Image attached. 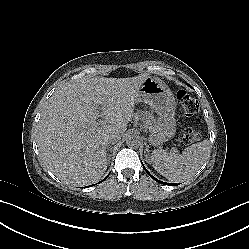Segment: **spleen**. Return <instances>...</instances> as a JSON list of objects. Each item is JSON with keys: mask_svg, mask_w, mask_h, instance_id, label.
<instances>
[{"mask_svg": "<svg viewBox=\"0 0 249 249\" xmlns=\"http://www.w3.org/2000/svg\"><path fill=\"white\" fill-rule=\"evenodd\" d=\"M210 155V143L203 140L188 146L182 153L154 150L151 161L154 168L170 181H180L197 171Z\"/></svg>", "mask_w": 249, "mask_h": 249, "instance_id": "obj_1", "label": "spleen"}]
</instances>
